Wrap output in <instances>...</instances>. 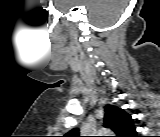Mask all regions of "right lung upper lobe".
<instances>
[{
    "label": "right lung upper lobe",
    "instance_id": "cb5924a9",
    "mask_svg": "<svg viewBox=\"0 0 160 137\" xmlns=\"http://www.w3.org/2000/svg\"><path fill=\"white\" fill-rule=\"evenodd\" d=\"M104 127L111 129L118 137H133L136 135L131 116L113 105L105 107Z\"/></svg>",
    "mask_w": 160,
    "mask_h": 137
}]
</instances>
